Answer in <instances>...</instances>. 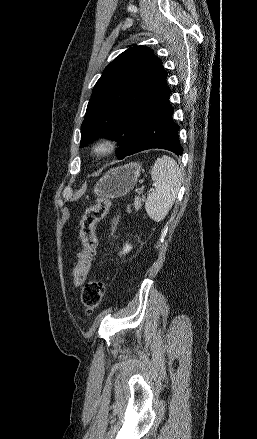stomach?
<instances>
[{"label":"stomach","instance_id":"stomach-1","mask_svg":"<svg viewBox=\"0 0 257 439\" xmlns=\"http://www.w3.org/2000/svg\"><path fill=\"white\" fill-rule=\"evenodd\" d=\"M141 171L140 163H129L110 169L95 185L94 194L98 197L120 198L135 186Z\"/></svg>","mask_w":257,"mask_h":439}]
</instances>
